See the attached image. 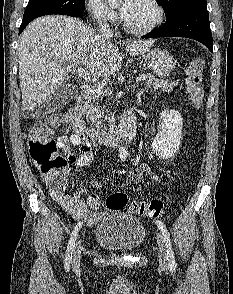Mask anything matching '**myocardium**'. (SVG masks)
<instances>
[{"label": "myocardium", "mask_w": 233, "mask_h": 294, "mask_svg": "<svg viewBox=\"0 0 233 294\" xmlns=\"http://www.w3.org/2000/svg\"><path fill=\"white\" fill-rule=\"evenodd\" d=\"M147 2L155 10V18H154V20L150 24H148L146 26L134 27V26L130 25L125 20L124 17H122L123 27L129 33L136 34V35L148 34V33L152 32V31H154L156 28H158L163 23L165 12H164V8L162 7V5L158 2V0H147Z\"/></svg>", "instance_id": "1"}]
</instances>
